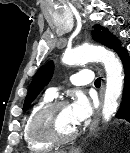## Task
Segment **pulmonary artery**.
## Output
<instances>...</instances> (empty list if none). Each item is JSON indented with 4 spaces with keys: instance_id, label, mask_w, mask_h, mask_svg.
I'll return each mask as SVG.
<instances>
[{
    "instance_id": "1",
    "label": "pulmonary artery",
    "mask_w": 130,
    "mask_h": 153,
    "mask_svg": "<svg viewBox=\"0 0 130 153\" xmlns=\"http://www.w3.org/2000/svg\"><path fill=\"white\" fill-rule=\"evenodd\" d=\"M93 80V73L90 70H84L78 73H75L71 77V82L74 85H86L91 83ZM48 94L52 97H56L58 95V88H50L48 90Z\"/></svg>"
}]
</instances>
